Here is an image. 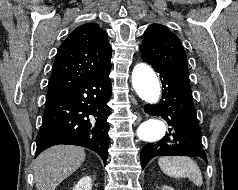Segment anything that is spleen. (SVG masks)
Returning a JSON list of instances; mask_svg holds the SVG:
<instances>
[{
	"label": "spleen",
	"mask_w": 238,
	"mask_h": 190,
	"mask_svg": "<svg viewBox=\"0 0 238 190\" xmlns=\"http://www.w3.org/2000/svg\"><path fill=\"white\" fill-rule=\"evenodd\" d=\"M158 164L160 169L170 177H187L197 186L203 184L200 168L190 157H161Z\"/></svg>",
	"instance_id": "1"
}]
</instances>
